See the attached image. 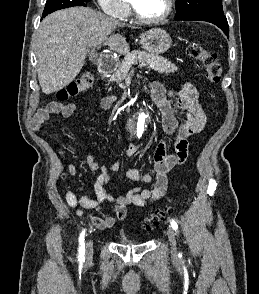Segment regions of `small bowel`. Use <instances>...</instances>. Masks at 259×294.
Segmentation results:
<instances>
[{
    "label": "small bowel",
    "mask_w": 259,
    "mask_h": 294,
    "mask_svg": "<svg viewBox=\"0 0 259 294\" xmlns=\"http://www.w3.org/2000/svg\"><path fill=\"white\" fill-rule=\"evenodd\" d=\"M151 98L162 115V124L166 132V137L158 144L154 153L155 179L152 175L142 174L139 169L131 168L126 171V178L132 182H141L143 188H133L125 195L113 196L107 190L109 182V171L119 168V163L102 165L94 157L88 154L86 162L90 170H99V174L94 184L96 198L91 199L87 196L78 198L70 189L66 190L65 199L67 204L75 209L78 216L85 215L86 210H97L98 216H90L93 225L104 230L113 227L117 221L126 218L127 207L135 205L144 207L164 196L167 189V177L169 172L177 165H182L188 156V139L200 133L206 125L207 117L198 101V91L195 86L185 81L176 92L167 91L160 82H152L149 86ZM169 97L177 96L174 103ZM114 97L107 96L102 99L101 107L108 109L112 105ZM78 109L75 103L51 102L39 109L31 121L34 131H40L43 124L52 116L58 115L64 118L72 116ZM181 112L185 115V120L179 123L176 114ZM172 141L176 147L175 154L167 152V146ZM138 151L137 145H131L126 150V156L132 157ZM73 176L78 174L75 165L69 167ZM154 180V186L149 187ZM108 202L115 212V216L101 212V205Z\"/></svg>",
    "instance_id": "small-bowel-1"
}]
</instances>
